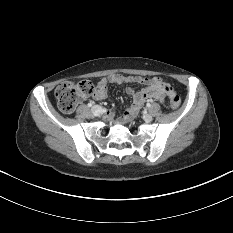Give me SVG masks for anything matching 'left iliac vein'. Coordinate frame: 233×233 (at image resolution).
<instances>
[{"instance_id":"1","label":"left iliac vein","mask_w":233,"mask_h":233,"mask_svg":"<svg viewBox=\"0 0 233 233\" xmlns=\"http://www.w3.org/2000/svg\"><path fill=\"white\" fill-rule=\"evenodd\" d=\"M143 119L146 121V122H151L153 120V116L150 115V114H144L143 115Z\"/></svg>"}]
</instances>
